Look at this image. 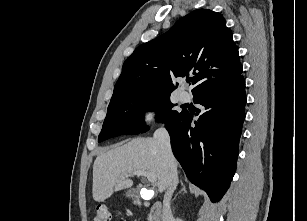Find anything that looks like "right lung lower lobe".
Masks as SVG:
<instances>
[{
	"mask_svg": "<svg viewBox=\"0 0 307 221\" xmlns=\"http://www.w3.org/2000/svg\"><path fill=\"white\" fill-rule=\"evenodd\" d=\"M203 107L191 127L192 114H183L166 128L172 150L188 179L205 190L212 202L219 201L236 169L239 139L245 118V81L193 98Z\"/></svg>",
	"mask_w": 307,
	"mask_h": 221,
	"instance_id": "obj_1",
	"label": "right lung lower lobe"
}]
</instances>
